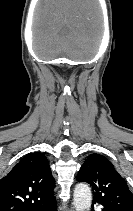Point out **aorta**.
Instances as JSON below:
<instances>
[{
  "label": "aorta",
  "instance_id": "aorta-1",
  "mask_svg": "<svg viewBox=\"0 0 133 211\" xmlns=\"http://www.w3.org/2000/svg\"><path fill=\"white\" fill-rule=\"evenodd\" d=\"M73 204L76 211H90L92 194L87 184L79 183L75 186Z\"/></svg>",
  "mask_w": 133,
  "mask_h": 211
}]
</instances>
